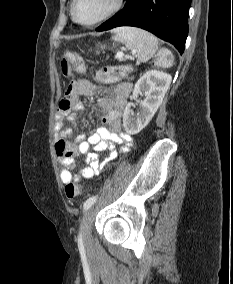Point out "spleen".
I'll return each instance as SVG.
<instances>
[{
    "label": "spleen",
    "mask_w": 233,
    "mask_h": 284,
    "mask_svg": "<svg viewBox=\"0 0 233 284\" xmlns=\"http://www.w3.org/2000/svg\"><path fill=\"white\" fill-rule=\"evenodd\" d=\"M113 39L123 43L129 50L135 51L141 62H147L158 50V39L151 33L135 27L117 28ZM159 57V64L162 66L173 61L171 51L165 48L159 50Z\"/></svg>",
    "instance_id": "1"
}]
</instances>
